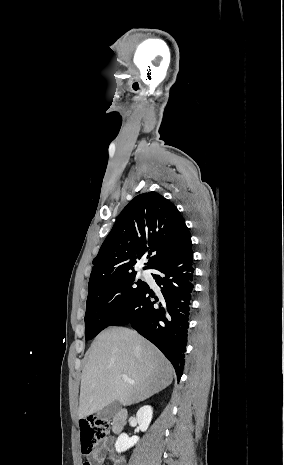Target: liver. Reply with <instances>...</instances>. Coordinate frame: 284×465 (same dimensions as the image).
Instances as JSON below:
<instances>
[{"label": "liver", "mask_w": 284, "mask_h": 465, "mask_svg": "<svg viewBox=\"0 0 284 465\" xmlns=\"http://www.w3.org/2000/svg\"><path fill=\"white\" fill-rule=\"evenodd\" d=\"M128 375L135 383H125ZM173 381V367L157 347L123 327H110L93 341L82 371L78 419L113 401L128 407L149 399Z\"/></svg>", "instance_id": "obj_1"}]
</instances>
